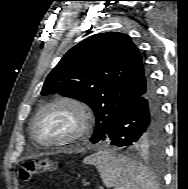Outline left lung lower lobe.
<instances>
[{"label": "left lung lower lobe", "instance_id": "obj_1", "mask_svg": "<svg viewBox=\"0 0 188 189\" xmlns=\"http://www.w3.org/2000/svg\"><path fill=\"white\" fill-rule=\"evenodd\" d=\"M160 101L152 82L145 84L100 139L118 147L136 148L144 138L162 136Z\"/></svg>", "mask_w": 188, "mask_h": 189}]
</instances>
